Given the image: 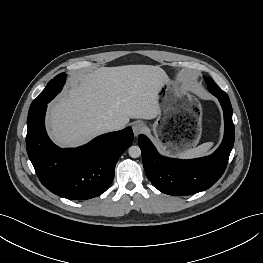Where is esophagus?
<instances>
[{"label":"esophagus","instance_id":"1","mask_svg":"<svg viewBox=\"0 0 263 263\" xmlns=\"http://www.w3.org/2000/svg\"><path fill=\"white\" fill-rule=\"evenodd\" d=\"M145 128L141 121H136L132 124V130L135 136H138Z\"/></svg>","mask_w":263,"mask_h":263}]
</instances>
